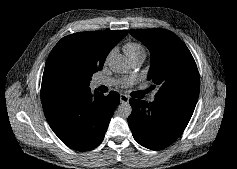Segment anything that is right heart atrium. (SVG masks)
<instances>
[{"instance_id": "obj_1", "label": "right heart atrium", "mask_w": 237, "mask_h": 169, "mask_svg": "<svg viewBox=\"0 0 237 169\" xmlns=\"http://www.w3.org/2000/svg\"><path fill=\"white\" fill-rule=\"evenodd\" d=\"M111 54H112V51L108 54V57H109ZM108 57H107V58H108Z\"/></svg>"}]
</instances>
